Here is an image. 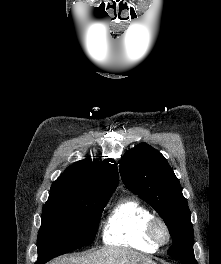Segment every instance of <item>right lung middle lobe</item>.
I'll return each mask as SVG.
<instances>
[{
    "label": "right lung middle lobe",
    "mask_w": 221,
    "mask_h": 264,
    "mask_svg": "<svg viewBox=\"0 0 221 264\" xmlns=\"http://www.w3.org/2000/svg\"><path fill=\"white\" fill-rule=\"evenodd\" d=\"M111 195L93 196L78 202L48 200L42 209L38 233V261L45 263L92 243Z\"/></svg>",
    "instance_id": "dd1d6c3e"
}]
</instances>
